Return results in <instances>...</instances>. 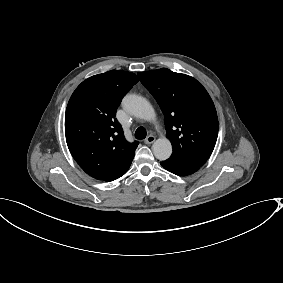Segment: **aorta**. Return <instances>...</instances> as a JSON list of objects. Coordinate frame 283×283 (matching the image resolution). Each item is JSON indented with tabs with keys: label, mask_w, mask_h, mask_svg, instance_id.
I'll return each instance as SVG.
<instances>
[{
	"label": "aorta",
	"mask_w": 283,
	"mask_h": 283,
	"mask_svg": "<svg viewBox=\"0 0 283 283\" xmlns=\"http://www.w3.org/2000/svg\"><path fill=\"white\" fill-rule=\"evenodd\" d=\"M123 108L136 117L144 120H155V111L151 104L143 97L128 94L122 100ZM155 157L160 160L168 159L172 154V145L166 137L157 139L153 146Z\"/></svg>",
	"instance_id": "obj_1"
}]
</instances>
